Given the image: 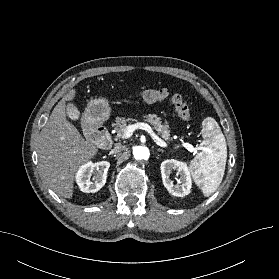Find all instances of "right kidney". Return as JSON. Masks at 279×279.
<instances>
[{
    "label": "right kidney",
    "mask_w": 279,
    "mask_h": 279,
    "mask_svg": "<svg viewBox=\"0 0 279 279\" xmlns=\"http://www.w3.org/2000/svg\"><path fill=\"white\" fill-rule=\"evenodd\" d=\"M109 167L110 163L107 161L97 163L90 161L82 165L76 173V182L80 190L86 193L99 191L106 183ZM94 172L96 174L92 177Z\"/></svg>",
    "instance_id": "right-kidney-1"
}]
</instances>
